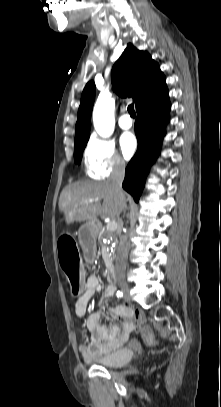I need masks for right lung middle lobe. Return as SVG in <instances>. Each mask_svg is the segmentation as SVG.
Segmentation results:
<instances>
[{"mask_svg":"<svg viewBox=\"0 0 221 407\" xmlns=\"http://www.w3.org/2000/svg\"><path fill=\"white\" fill-rule=\"evenodd\" d=\"M86 144H87V141L75 144L74 158H75V162L78 164H80V162H81L83 150H84Z\"/></svg>","mask_w":221,"mask_h":407,"instance_id":"obj_1","label":"right lung middle lobe"}]
</instances>
